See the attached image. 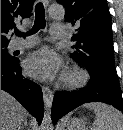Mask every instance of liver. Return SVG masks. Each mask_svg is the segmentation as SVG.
Returning <instances> with one entry per match:
<instances>
[{
  "mask_svg": "<svg viewBox=\"0 0 123 130\" xmlns=\"http://www.w3.org/2000/svg\"><path fill=\"white\" fill-rule=\"evenodd\" d=\"M28 113L10 94L1 90V130H22Z\"/></svg>",
  "mask_w": 123,
  "mask_h": 130,
  "instance_id": "obj_1",
  "label": "liver"
}]
</instances>
